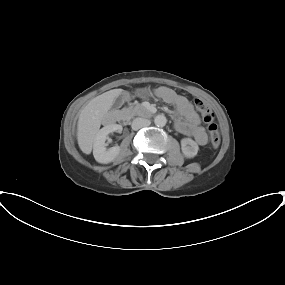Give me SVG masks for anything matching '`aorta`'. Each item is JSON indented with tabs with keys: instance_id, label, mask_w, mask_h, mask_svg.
<instances>
[{
	"instance_id": "1",
	"label": "aorta",
	"mask_w": 285,
	"mask_h": 285,
	"mask_svg": "<svg viewBox=\"0 0 285 285\" xmlns=\"http://www.w3.org/2000/svg\"><path fill=\"white\" fill-rule=\"evenodd\" d=\"M154 123L157 127H164L167 123V119L163 114H160L154 118Z\"/></svg>"
}]
</instances>
